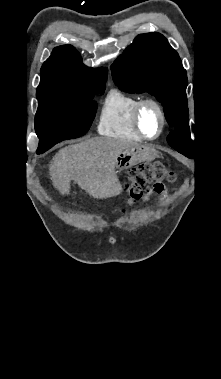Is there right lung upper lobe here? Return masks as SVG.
Instances as JSON below:
<instances>
[{
    "instance_id": "right-lung-upper-lobe-1",
    "label": "right lung upper lobe",
    "mask_w": 221,
    "mask_h": 379,
    "mask_svg": "<svg viewBox=\"0 0 221 379\" xmlns=\"http://www.w3.org/2000/svg\"><path fill=\"white\" fill-rule=\"evenodd\" d=\"M106 68H89L73 46L56 47L41 68L37 97L74 94L105 86Z\"/></svg>"
}]
</instances>
